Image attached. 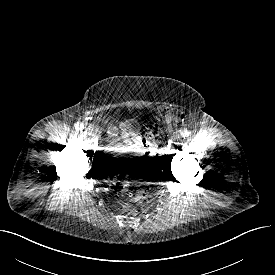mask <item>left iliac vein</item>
<instances>
[{"label": "left iliac vein", "instance_id": "1", "mask_svg": "<svg viewBox=\"0 0 275 275\" xmlns=\"http://www.w3.org/2000/svg\"><path fill=\"white\" fill-rule=\"evenodd\" d=\"M177 138H178V136H177V135H175V136H174V139L176 140Z\"/></svg>", "mask_w": 275, "mask_h": 275}]
</instances>
